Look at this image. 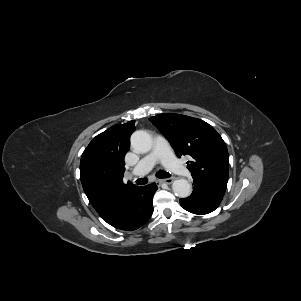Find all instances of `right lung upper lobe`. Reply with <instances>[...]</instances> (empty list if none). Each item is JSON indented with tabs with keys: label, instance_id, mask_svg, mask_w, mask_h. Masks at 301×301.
Returning <instances> with one entry per match:
<instances>
[{
	"label": "right lung upper lobe",
	"instance_id": "obj_1",
	"mask_svg": "<svg viewBox=\"0 0 301 301\" xmlns=\"http://www.w3.org/2000/svg\"><path fill=\"white\" fill-rule=\"evenodd\" d=\"M135 121L112 126L97 135L84 150L80 179L85 194L99 215L110 223L121 211L128 195L136 188L124 184V155Z\"/></svg>",
	"mask_w": 301,
	"mask_h": 301
}]
</instances>
